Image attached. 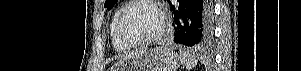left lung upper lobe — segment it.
<instances>
[{
  "instance_id": "5c2ea615",
  "label": "left lung upper lobe",
  "mask_w": 301,
  "mask_h": 71,
  "mask_svg": "<svg viewBox=\"0 0 301 71\" xmlns=\"http://www.w3.org/2000/svg\"><path fill=\"white\" fill-rule=\"evenodd\" d=\"M118 0H106L105 1V4H104V7H106L107 9H111L114 7L115 3L117 2ZM168 1V0H167Z\"/></svg>"
}]
</instances>
